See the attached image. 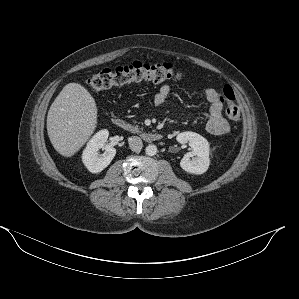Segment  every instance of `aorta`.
<instances>
[{"instance_id": "1", "label": "aorta", "mask_w": 299, "mask_h": 299, "mask_svg": "<svg viewBox=\"0 0 299 299\" xmlns=\"http://www.w3.org/2000/svg\"><path fill=\"white\" fill-rule=\"evenodd\" d=\"M157 152H158V149H157L156 145L150 144L145 148V153L148 156H154L157 154Z\"/></svg>"}]
</instances>
